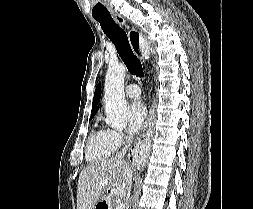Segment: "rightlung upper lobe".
I'll list each match as a JSON object with an SVG mask.
<instances>
[{"mask_svg":"<svg viewBox=\"0 0 253 209\" xmlns=\"http://www.w3.org/2000/svg\"><path fill=\"white\" fill-rule=\"evenodd\" d=\"M100 96H101V83L97 85L95 93H94L91 117H94V115L96 114V107L100 100Z\"/></svg>","mask_w":253,"mask_h":209,"instance_id":"cb5924a9","label":"right lung upper lobe"}]
</instances>
